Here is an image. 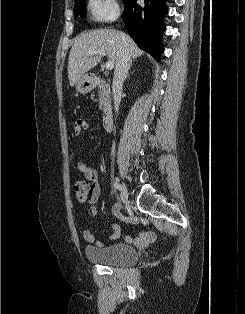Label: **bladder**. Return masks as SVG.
Segmentation results:
<instances>
[{
	"instance_id": "1",
	"label": "bladder",
	"mask_w": 245,
	"mask_h": 314,
	"mask_svg": "<svg viewBox=\"0 0 245 314\" xmlns=\"http://www.w3.org/2000/svg\"><path fill=\"white\" fill-rule=\"evenodd\" d=\"M85 257L92 263L126 266L137 262L138 252L125 244L115 243L104 247L87 246Z\"/></svg>"
}]
</instances>
